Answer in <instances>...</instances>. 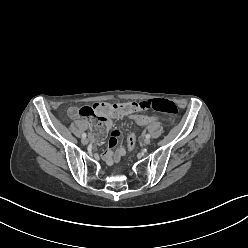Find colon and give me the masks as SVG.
<instances>
[{"label": "colon", "instance_id": "5ec220e1", "mask_svg": "<svg viewBox=\"0 0 248 248\" xmlns=\"http://www.w3.org/2000/svg\"><path fill=\"white\" fill-rule=\"evenodd\" d=\"M155 110L174 116L178 113L177 105L168 99H152L141 102L126 103H100L93 106H84L79 109V116L92 120V127L95 129L94 137L98 141H103L107 137V131L111 127V118L122 117L128 111ZM129 121L135 123L137 127L146 128L154 124H160L162 120L170 122V118L160 115H146L140 113H130ZM135 134L129 133L127 136V147L132 151L135 147Z\"/></svg>", "mask_w": 248, "mask_h": 248}]
</instances>
